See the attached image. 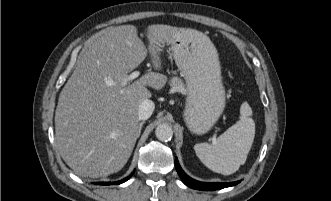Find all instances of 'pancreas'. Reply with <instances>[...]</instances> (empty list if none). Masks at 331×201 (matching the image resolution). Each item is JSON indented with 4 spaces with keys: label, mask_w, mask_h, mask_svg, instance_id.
<instances>
[{
    "label": "pancreas",
    "mask_w": 331,
    "mask_h": 201,
    "mask_svg": "<svg viewBox=\"0 0 331 201\" xmlns=\"http://www.w3.org/2000/svg\"><path fill=\"white\" fill-rule=\"evenodd\" d=\"M170 85L172 86V88L176 91L181 92L182 94H186L187 90L184 86V83L182 82V80L178 77H173L170 80Z\"/></svg>",
    "instance_id": "obj_1"
}]
</instances>
